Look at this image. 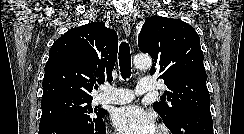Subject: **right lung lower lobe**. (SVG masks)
Returning a JSON list of instances; mask_svg holds the SVG:
<instances>
[{
  "instance_id": "98d812e1",
  "label": "right lung lower lobe",
  "mask_w": 244,
  "mask_h": 134,
  "mask_svg": "<svg viewBox=\"0 0 244 134\" xmlns=\"http://www.w3.org/2000/svg\"><path fill=\"white\" fill-rule=\"evenodd\" d=\"M39 134H105V123L102 119L91 123L59 122L49 125Z\"/></svg>"
}]
</instances>
